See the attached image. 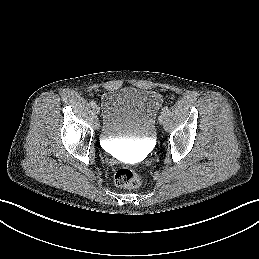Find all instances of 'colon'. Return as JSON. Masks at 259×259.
Returning a JSON list of instances; mask_svg holds the SVG:
<instances>
[{
	"label": "colon",
	"instance_id": "1",
	"mask_svg": "<svg viewBox=\"0 0 259 259\" xmlns=\"http://www.w3.org/2000/svg\"><path fill=\"white\" fill-rule=\"evenodd\" d=\"M114 183L120 188H136L141 184V178L136 171L124 167L116 171Z\"/></svg>",
	"mask_w": 259,
	"mask_h": 259
}]
</instances>
